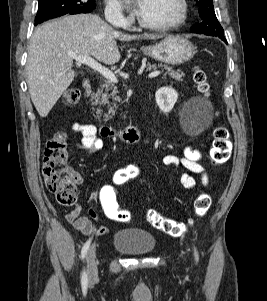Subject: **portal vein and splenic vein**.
<instances>
[{
	"instance_id": "1",
	"label": "portal vein and splenic vein",
	"mask_w": 267,
	"mask_h": 301,
	"mask_svg": "<svg viewBox=\"0 0 267 301\" xmlns=\"http://www.w3.org/2000/svg\"><path fill=\"white\" fill-rule=\"evenodd\" d=\"M69 56L76 60V62L85 64L89 66L90 68L94 69L95 71L99 72L101 75H103L109 82L111 83H117L118 79L115 76V74L110 71L108 68L102 66L99 64L95 59L89 56H80L75 53H69ZM160 75V71L155 70L148 74V78H154Z\"/></svg>"
}]
</instances>
